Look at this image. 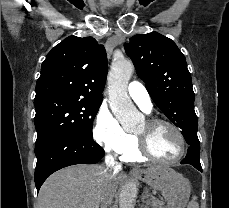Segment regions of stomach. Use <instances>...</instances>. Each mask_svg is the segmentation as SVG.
<instances>
[{
    "instance_id": "obj_1",
    "label": "stomach",
    "mask_w": 229,
    "mask_h": 208,
    "mask_svg": "<svg viewBox=\"0 0 229 208\" xmlns=\"http://www.w3.org/2000/svg\"><path fill=\"white\" fill-rule=\"evenodd\" d=\"M138 180L148 184L153 190L162 192L167 208H186L191 192L188 180L181 174H173L172 170H160V172H138Z\"/></svg>"
}]
</instances>
